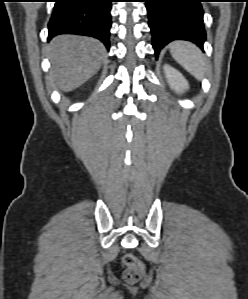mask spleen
<instances>
[{"mask_svg":"<svg viewBox=\"0 0 248 299\" xmlns=\"http://www.w3.org/2000/svg\"><path fill=\"white\" fill-rule=\"evenodd\" d=\"M172 57L195 78L201 80L206 71L205 59L200 49L186 41H175L170 45Z\"/></svg>","mask_w":248,"mask_h":299,"instance_id":"obj_1","label":"spleen"}]
</instances>
